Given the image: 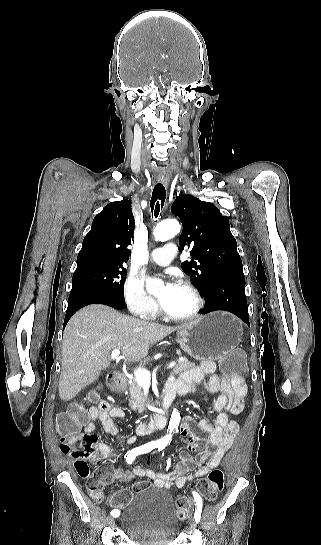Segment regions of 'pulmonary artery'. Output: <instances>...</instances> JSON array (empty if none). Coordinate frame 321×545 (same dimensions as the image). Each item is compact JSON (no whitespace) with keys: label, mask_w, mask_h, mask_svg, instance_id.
Segmentation results:
<instances>
[{"label":"pulmonary artery","mask_w":321,"mask_h":545,"mask_svg":"<svg viewBox=\"0 0 321 545\" xmlns=\"http://www.w3.org/2000/svg\"><path fill=\"white\" fill-rule=\"evenodd\" d=\"M165 247L166 250H163V248L154 249L147 260L158 265H167L171 263V261H174L176 258L175 251L178 247L177 243L175 241H168Z\"/></svg>","instance_id":"e3ab8cb5"}]
</instances>
